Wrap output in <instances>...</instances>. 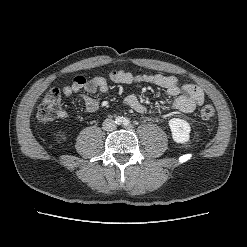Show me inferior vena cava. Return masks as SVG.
<instances>
[{
  "label": "inferior vena cava",
  "instance_id": "obj_1",
  "mask_svg": "<svg viewBox=\"0 0 247 247\" xmlns=\"http://www.w3.org/2000/svg\"><path fill=\"white\" fill-rule=\"evenodd\" d=\"M102 126L103 130L105 131H113L116 128V124L112 119L104 120Z\"/></svg>",
  "mask_w": 247,
  "mask_h": 247
}]
</instances>
